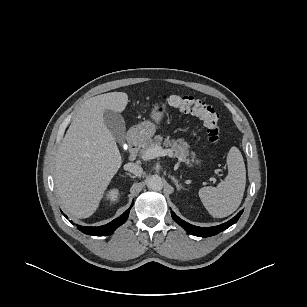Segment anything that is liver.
<instances>
[{
  "label": "liver",
  "instance_id": "1",
  "mask_svg": "<svg viewBox=\"0 0 307 307\" xmlns=\"http://www.w3.org/2000/svg\"><path fill=\"white\" fill-rule=\"evenodd\" d=\"M124 92L97 95L84 102L60 144L55 161V186L65 209L77 218L98 208L122 164L115 138L104 124V111L122 112Z\"/></svg>",
  "mask_w": 307,
  "mask_h": 307
}]
</instances>
